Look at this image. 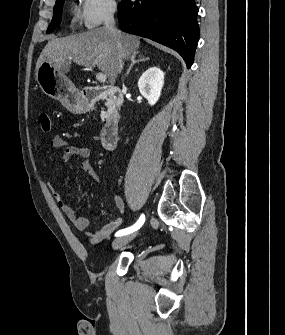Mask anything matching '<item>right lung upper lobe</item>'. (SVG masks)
<instances>
[{
  "mask_svg": "<svg viewBox=\"0 0 285 335\" xmlns=\"http://www.w3.org/2000/svg\"><path fill=\"white\" fill-rule=\"evenodd\" d=\"M63 0H56V4H59V3H61ZM55 4V5H56Z\"/></svg>",
  "mask_w": 285,
  "mask_h": 335,
  "instance_id": "1",
  "label": "right lung upper lobe"
}]
</instances>
